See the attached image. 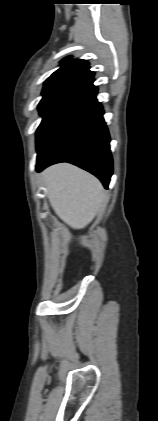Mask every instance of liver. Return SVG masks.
Here are the masks:
<instances>
[{"mask_svg": "<svg viewBox=\"0 0 158 421\" xmlns=\"http://www.w3.org/2000/svg\"><path fill=\"white\" fill-rule=\"evenodd\" d=\"M42 178L54 212L74 229L85 228L105 201L100 181L73 165L51 166L42 173Z\"/></svg>", "mask_w": 158, "mask_h": 421, "instance_id": "obj_1", "label": "liver"}]
</instances>
